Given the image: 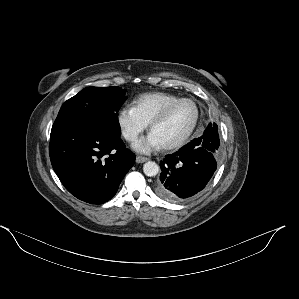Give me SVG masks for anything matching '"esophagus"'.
Listing matches in <instances>:
<instances>
[{
  "label": "esophagus",
  "mask_w": 299,
  "mask_h": 299,
  "mask_svg": "<svg viewBox=\"0 0 299 299\" xmlns=\"http://www.w3.org/2000/svg\"><path fill=\"white\" fill-rule=\"evenodd\" d=\"M148 160H149L148 157H143V156H137V157H136V162H137V163H144V162H146V161H148Z\"/></svg>",
  "instance_id": "34e87169"
}]
</instances>
